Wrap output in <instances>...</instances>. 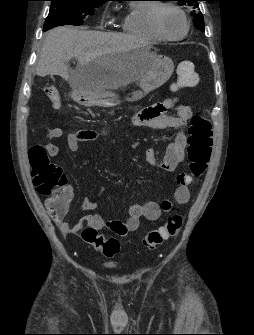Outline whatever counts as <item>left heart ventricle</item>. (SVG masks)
Masks as SVG:
<instances>
[{
	"label": "left heart ventricle",
	"mask_w": 254,
	"mask_h": 335,
	"mask_svg": "<svg viewBox=\"0 0 254 335\" xmlns=\"http://www.w3.org/2000/svg\"><path fill=\"white\" fill-rule=\"evenodd\" d=\"M159 25L162 32L171 37L180 35L185 28L181 15L170 8H165L160 12Z\"/></svg>",
	"instance_id": "left-heart-ventricle-1"
}]
</instances>
